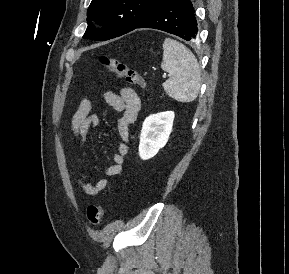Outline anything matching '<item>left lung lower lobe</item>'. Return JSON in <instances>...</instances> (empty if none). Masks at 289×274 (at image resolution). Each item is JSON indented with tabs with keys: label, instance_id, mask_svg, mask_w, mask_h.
<instances>
[{
	"label": "left lung lower lobe",
	"instance_id": "0a47b994",
	"mask_svg": "<svg viewBox=\"0 0 289 274\" xmlns=\"http://www.w3.org/2000/svg\"><path fill=\"white\" fill-rule=\"evenodd\" d=\"M136 28L162 30L187 41L194 40L198 32L191 0H166Z\"/></svg>",
	"mask_w": 289,
	"mask_h": 274
}]
</instances>
